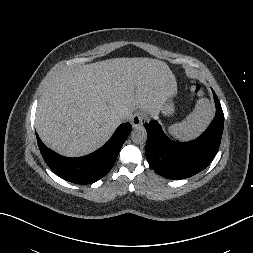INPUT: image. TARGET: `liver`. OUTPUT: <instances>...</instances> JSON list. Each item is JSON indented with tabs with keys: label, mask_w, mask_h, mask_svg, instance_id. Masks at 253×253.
Instances as JSON below:
<instances>
[{
	"label": "liver",
	"mask_w": 253,
	"mask_h": 253,
	"mask_svg": "<svg viewBox=\"0 0 253 253\" xmlns=\"http://www.w3.org/2000/svg\"><path fill=\"white\" fill-rule=\"evenodd\" d=\"M175 76L151 58H114L66 68L43 92L35 126L43 143L67 157L102 147L135 108L158 113Z\"/></svg>",
	"instance_id": "1"
}]
</instances>
